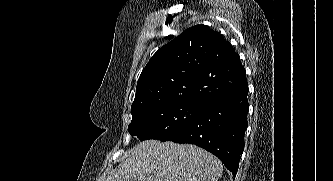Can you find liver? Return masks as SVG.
Returning a JSON list of instances; mask_svg holds the SVG:
<instances>
[{
    "instance_id": "1",
    "label": "liver",
    "mask_w": 333,
    "mask_h": 181,
    "mask_svg": "<svg viewBox=\"0 0 333 181\" xmlns=\"http://www.w3.org/2000/svg\"><path fill=\"white\" fill-rule=\"evenodd\" d=\"M220 160L192 144L146 140L125 154V160L104 181H218Z\"/></svg>"
}]
</instances>
